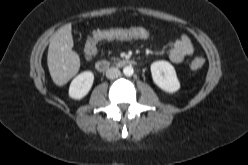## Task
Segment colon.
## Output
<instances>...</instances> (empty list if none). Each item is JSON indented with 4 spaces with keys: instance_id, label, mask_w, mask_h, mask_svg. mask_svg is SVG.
Segmentation results:
<instances>
[{
    "instance_id": "5ec220e1",
    "label": "colon",
    "mask_w": 248,
    "mask_h": 165,
    "mask_svg": "<svg viewBox=\"0 0 248 165\" xmlns=\"http://www.w3.org/2000/svg\"><path fill=\"white\" fill-rule=\"evenodd\" d=\"M136 34H141L140 32H133V31H128L125 29H117V28H112V29H99L90 35L91 37V42L85 45L84 48V55L86 59H93L96 55L97 51V44L105 39H120V38H127ZM204 65V60L201 57H196L192 60L190 67L192 70H199L203 67Z\"/></svg>"
}]
</instances>
